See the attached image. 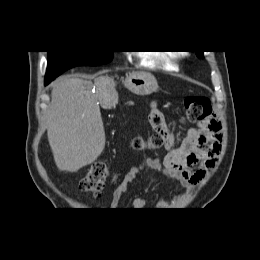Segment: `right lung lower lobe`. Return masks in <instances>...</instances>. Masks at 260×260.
<instances>
[{
  "label": "right lung lower lobe",
  "instance_id": "right-lung-lower-lobe-1",
  "mask_svg": "<svg viewBox=\"0 0 260 260\" xmlns=\"http://www.w3.org/2000/svg\"><path fill=\"white\" fill-rule=\"evenodd\" d=\"M49 82H50V81H48V80H45V85H47Z\"/></svg>",
  "mask_w": 260,
  "mask_h": 260
}]
</instances>
